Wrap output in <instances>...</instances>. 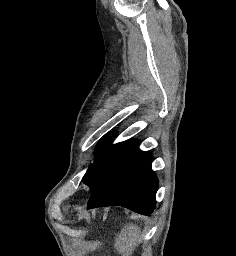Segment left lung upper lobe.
<instances>
[{
    "label": "left lung upper lobe",
    "instance_id": "5c2ea615",
    "mask_svg": "<svg viewBox=\"0 0 236 256\" xmlns=\"http://www.w3.org/2000/svg\"><path fill=\"white\" fill-rule=\"evenodd\" d=\"M115 135H107L97 145L98 156L90 165L82 182L93 191L110 174L131 140L112 145Z\"/></svg>",
    "mask_w": 236,
    "mask_h": 256
}]
</instances>
